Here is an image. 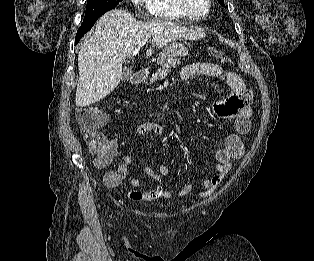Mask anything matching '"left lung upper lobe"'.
I'll return each instance as SVG.
<instances>
[{"label": "left lung upper lobe", "mask_w": 314, "mask_h": 261, "mask_svg": "<svg viewBox=\"0 0 314 261\" xmlns=\"http://www.w3.org/2000/svg\"><path fill=\"white\" fill-rule=\"evenodd\" d=\"M218 2H219L222 6H224V0H218Z\"/></svg>", "instance_id": "1"}]
</instances>
